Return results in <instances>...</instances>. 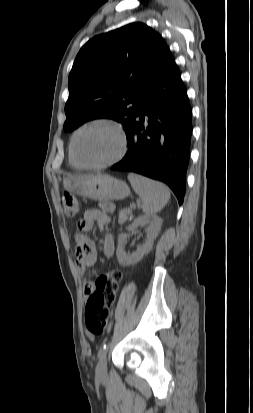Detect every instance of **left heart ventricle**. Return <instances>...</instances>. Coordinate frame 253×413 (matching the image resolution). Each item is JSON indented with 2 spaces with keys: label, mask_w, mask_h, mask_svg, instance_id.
<instances>
[{
  "label": "left heart ventricle",
  "mask_w": 253,
  "mask_h": 413,
  "mask_svg": "<svg viewBox=\"0 0 253 413\" xmlns=\"http://www.w3.org/2000/svg\"><path fill=\"white\" fill-rule=\"evenodd\" d=\"M116 133L108 126L96 125L83 130L77 137L75 152L80 161L96 164L112 158L118 151Z\"/></svg>",
  "instance_id": "1"
}]
</instances>
